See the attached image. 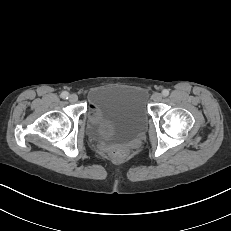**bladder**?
Listing matches in <instances>:
<instances>
[{
	"mask_svg": "<svg viewBox=\"0 0 231 231\" xmlns=\"http://www.w3.org/2000/svg\"><path fill=\"white\" fill-rule=\"evenodd\" d=\"M88 132L97 141L127 143L147 128V94L139 87H110L94 91L89 98Z\"/></svg>",
	"mask_w": 231,
	"mask_h": 231,
	"instance_id": "bladder-1",
	"label": "bladder"
}]
</instances>
